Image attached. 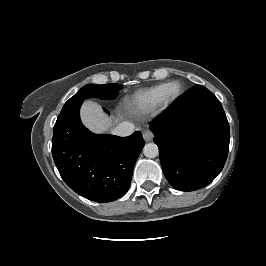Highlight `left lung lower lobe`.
I'll return each instance as SVG.
<instances>
[{"label": "left lung lower lobe", "mask_w": 266, "mask_h": 266, "mask_svg": "<svg viewBox=\"0 0 266 266\" xmlns=\"http://www.w3.org/2000/svg\"><path fill=\"white\" fill-rule=\"evenodd\" d=\"M150 129L163 173L175 189L205 187L223 169L229 150V123L220 101L204 86L178 97L151 122Z\"/></svg>", "instance_id": "left-lung-lower-lobe-1"}]
</instances>
